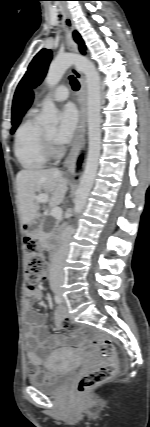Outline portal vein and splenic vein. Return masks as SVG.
<instances>
[{"label":"portal vein and splenic vein","instance_id":"1","mask_svg":"<svg viewBox=\"0 0 150 427\" xmlns=\"http://www.w3.org/2000/svg\"><path fill=\"white\" fill-rule=\"evenodd\" d=\"M36 200L39 203H44L48 201V195L47 194H39L36 196ZM50 215L56 219L61 218L62 216V209L60 207H54L52 208Z\"/></svg>","mask_w":150,"mask_h":427}]
</instances>
